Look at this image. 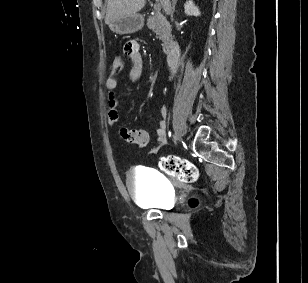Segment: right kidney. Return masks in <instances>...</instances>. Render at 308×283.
<instances>
[{"label":"right kidney","instance_id":"right-kidney-1","mask_svg":"<svg viewBox=\"0 0 308 283\" xmlns=\"http://www.w3.org/2000/svg\"><path fill=\"white\" fill-rule=\"evenodd\" d=\"M184 11H185V14L188 16H199L200 15V11L198 7L193 3L192 0L186 1V3L184 4Z\"/></svg>","mask_w":308,"mask_h":283}]
</instances>
